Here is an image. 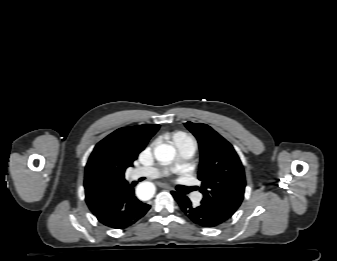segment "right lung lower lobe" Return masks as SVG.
I'll return each instance as SVG.
<instances>
[{
    "instance_id": "98d812e1",
    "label": "right lung lower lobe",
    "mask_w": 337,
    "mask_h": 261,
    "mask_svg": "<svg viewBox=\"0 0 337 261\" xmlns=\"http://www.w3.org/2000/svg\"><path fill=\"white\" fill-rule=\"evenodd\" d=\"M135 184L125 185L108 200L106 206L95 214L99 222L110 228L124 229L147 213L150 205L134 197Z\"/></svg>"
}]
</instances>
